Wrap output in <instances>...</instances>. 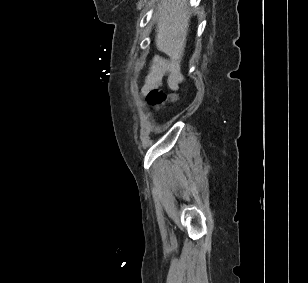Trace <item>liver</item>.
I'll return each instance as SVG.
<instances>
[{
  "label": "liver",
  "instance_id": "liver-1",
  "mask_svg": "<svg viewBox=\"0 0 308 283\" xmlns=\"http://www.w3.org/2000/svg\"><path fill=\"white\" fill-rule=\"evenodd\" d=\"M155 17L157 19L156 47L174 61H180L184 53L190 22L186 0L161 2Z\"/></svg>",
  "mask_w": 308,
  "mask_h": 283
}]
</instances>
